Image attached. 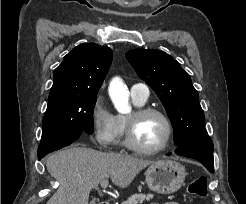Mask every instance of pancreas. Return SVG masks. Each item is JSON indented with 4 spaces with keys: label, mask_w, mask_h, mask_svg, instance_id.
Wrapping results in <instances>:
<instances>
[{
    "label": "pancreas",
    "mask_w": 246,
    "mask_h": 204,
    "mask_svg": "<svg viewBox=\"0 0 246 204\" xmlns=\"http://www.w3.org/2000/svg\"><path fill=\"white\" fill-rule=\"evenodd\" d=\"M153 194H133L127 200L123 201L121 204H142L144 201H149L153 199Z\"/></svg>",
    "instance_id": "obj_1"
}]
</instances>
